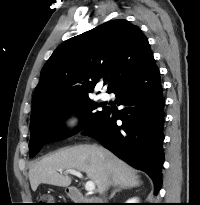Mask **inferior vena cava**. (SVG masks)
Masks as SVG:
<instances>
[{"mask_svg":"<svg viewBox=\"0 0 200 205\" xmlns=\"http://www.w3.org/2000/svg\"><path fill=\"white\" fill-rule=\"evenodd\" d=\"M106 189L103 190V192H105ZM103 192H101V194H103ZM104 199H105V194H104ZM106 200V199H105Z\"/></svg>","mask_w":200,"mask_h":205,"instance_id":"inferior-vena-cava-1","label":"inferior vena cava"}]
</instances>
